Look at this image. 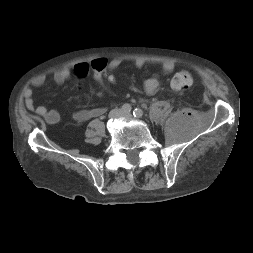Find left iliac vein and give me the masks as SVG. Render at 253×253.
Listing matches in <instances>:
<instances>
[{"instance_id":"4c4485c4","label":"left iliac vein","mask_w":253,"mask_h":253,"mask_svg":"<svg viewBox=\"0 0 253 253\" xmlns=\"http://www.w3.org/2000/svg\"><path fill=\"white\" fill-rule=\"evenodd\" d=\"M124 116L127 117V118H131L132 115L130 113H124Z\"/></svg>"}]
</instances>
